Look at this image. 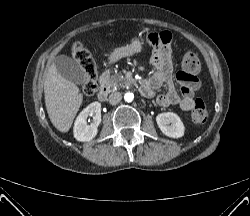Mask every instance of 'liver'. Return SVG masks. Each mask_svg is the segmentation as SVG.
I'll use <instances>...</instances> for the list:
<instances>
[{
    "instance_id": "1",
    "label": "liver",
    "mask_w": 250,
    "mask_h": 216,
    "mask_svg": "<svg viewBox=\"0 0 250 216\" xmlns=\"http://www.w3.org/2000/svg\"><path fill=\"white\" fill-rule=\"evenodd\" d=\"M45 105L48 116L60 132H68L82 104L79 88L65 79L55 64L48 69L44 82Z\"/></svg>"
}]
</instances>
